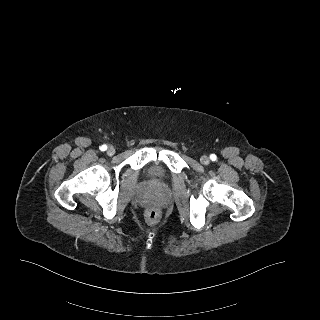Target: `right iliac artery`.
Listing matches in <instances>:
<instances>
[{
	"label": "right iliac artery",
	"mask_w": 320,
	"mask_h": 320,
	"mask_svg": "<svg viewBox=\"0 0 320 320\" xmlns=\"http://www.w3.org/2000/svg\"><path fill=\"white\" fill-rule=\"evenodd\" d=\"M100 150H101V151H106V150H107V146H106V145H102V146L100 147Z\"/></svg>",
	"instance_id": "1"
}]
</instances>
